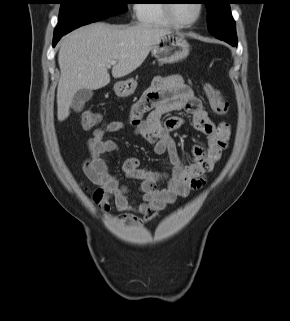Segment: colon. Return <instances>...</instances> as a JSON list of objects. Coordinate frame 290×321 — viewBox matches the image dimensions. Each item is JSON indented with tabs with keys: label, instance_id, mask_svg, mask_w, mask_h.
Instances as JSON below:
<instances>
[{
	"label": "colon",
	"instance_id": "obj_1",
	"mask_svg": "<svg viewBox=\"0 0 290 321\" xmlns=\"http://www.w3.org/2000/svg\"><path fill=\"white\" fill-rule=\"evenodd\" d=\"M205 94L209 100L211 108L217 114L223 115L227 113V104L223 101L219 91L210 83L204 85ZM101 120V117L96 112H85L81 118V126L85 130L95 127Z\"/></svg>",
	"mask_w": 290,
	"mask_h": 321
}]
</instances>
